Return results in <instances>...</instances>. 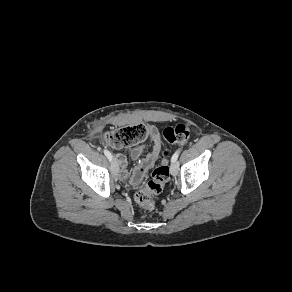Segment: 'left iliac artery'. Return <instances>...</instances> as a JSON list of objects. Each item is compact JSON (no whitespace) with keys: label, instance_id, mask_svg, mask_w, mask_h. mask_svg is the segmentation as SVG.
Masks as SVG:
<instances>
[{"label":"left iliac artery","instance_id":"44dca946","mask_svg":"<svg viewBox=\"0 0 292 292\" xmlns=\"http://www.w3.org/2000/svg\"><path fill=\"white\" fill-rule=\"evenodd\" d=\"M181 151H182V148L178 149V150L173 154V156H172V158H171V162H176V161H177V159H178L179 154H180Z\"/></svg>","mask_w":292,"mask_h":292}]
</instances>
